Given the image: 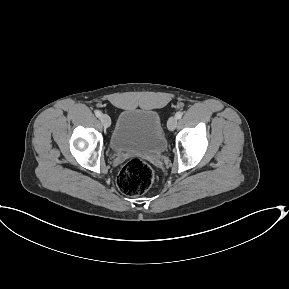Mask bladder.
Returning a JSON list of instances; mask_svg holds the SVG:
<instances>
[{"mask_svg": "<svg viewBox=\"0 0 289 289\" xmlns=\"http://www.w3.org/2000/svg\"><path fill=\"white\" fill-rule=\"evenodd\" d=\"M109 145L117 153L160 156L167 150L168 142L157 112L137 108L126 109L119 114Z\"/></svg>", "mask_w": 289, "mask_h": 289, "instance_id": "bladder-1", "label": "bladder"}]
</instances>
